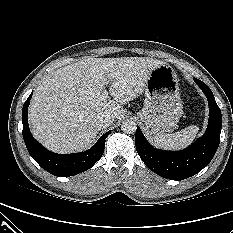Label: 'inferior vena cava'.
<instances>
[{"instance_id": "602c4592", "label": "inferior vena cava", "mask_w": 233, "mask_h": 233, "mask_svg": "<svg viewBox=\"0 0 233 233\" xmlns=\"http://www.w3.org/2000/svg\"><path fill=\"white\" fill-rule=\"evenodd\" d=\"M114 121V117L112 115L103 114L98 115L95 118V125L98 129H103L109 127Z\"/></svg>"}]
</instances>
